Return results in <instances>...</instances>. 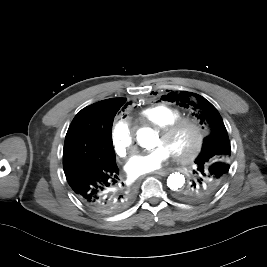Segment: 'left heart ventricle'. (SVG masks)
I'll use <instances>...</instances> for the list:
<instances>
[{"mask_svg": "<svg viewBox=\"0 0 267 267\" xmlns=\"http://www.w3.org/2000/svg\"><path fill=\"white\" fill-rule=\"evenodd\" d=\"M195 137L196 133L193 127L184 125L167 138H163L159 135L155 146L162 145L171 153H186L192 148Z\"/></svg>", "mask_w": 267, "mask_h": 267, "instance_id": "left-heart-ventricle-1", "label": "left heart ventricle"}]
</instances>
